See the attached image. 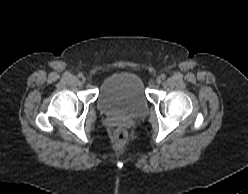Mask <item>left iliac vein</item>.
Returning <instances> with one entry per match:
<instances>
[{
    "mask_svg": "<svg viewBox=\"0 0 248 194\" xmlns=\"http://www.w3.org/2000/svg\"><path fill=\"white\" fill-rule=\"evenodd\" d=\"M161 81H162V80H161V77H157V78H156V83H157V84H160Z\"/></svg>",
    "mask_w": 248,
    "mask_h": 194,
    "instance_id": "1",
    "label": "left iliac vein"
}]
</instances>
